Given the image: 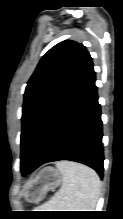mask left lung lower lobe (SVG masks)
Returning <instances> with one entry per match:
<instances>
[{"mask_svg": "<svg viewBox=\"0 0 123 219\" xmlns=\"http://www.w3.org/2000/svg\"><path fill=\"white\" fill-rule=\"evenodd\" d=\"M95 80L92 67L53 114L28 164L21 169L22 175L47 162L70 160L103 177L102 121Z\"/></svg>", "mask_w": 123, "mask_h": 219, "instance_id": "0a47b994", "label": "left lung lower lobe"}]
</instances>
